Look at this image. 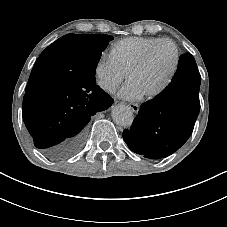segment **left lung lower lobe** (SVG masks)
<instances>
[{"label": "left lung lower lobe", "mask_w": 227, "mask_h": 227, "mask_svg": "<svg viewBox=\"0 0 227 227\" xmlns=\"http://www.w3.org/2000/svg\"><path fill=\"white\" fill-rule=\"evenodd\" d=\"M200 73L194 57H180L177 71L167 88L141 105L123 139L135 153L150 159L173 154L191 136L200 111Z\"/></svg>", "instance_id": "1"}]
</instances>
